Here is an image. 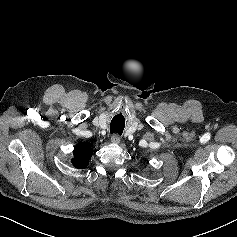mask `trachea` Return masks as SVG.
I'll use <instances>...</instances> for the list:
<instances>
[{
	"label": "trachea",
	"mask_w": 237,
	"mask_h": 237,
	"mask_svg": "<svg viewBox=\"0 0 237 237\" xmlns=\"http://www.w3.org/2000/svg\"><path fill=\"white\" fill-rule=\"evenodd\" d=\"M110 132L111 133H118L119 135L122 134V130L121 129L115 128L113 126H111V128H110Z\"/></svg>",
	"instance_id": "trachea-1"
}]
</instances>
